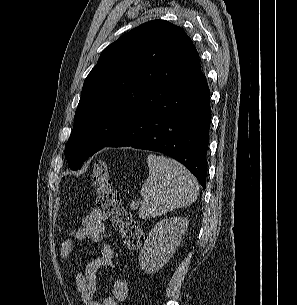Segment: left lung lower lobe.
Returning a JSON list of instances; mask_svg holds the SVG:
<instances>
[{
	"mask_svg": "<svg viewBox=\"0 0 297 305\" xmlns=\"http://www.w3.org/2000/svg\"><path fill=\"white\" fill-rule=\"evenodd\" d=\"M210 91L201 69L154 86L104 147L152 150L187 167L206 187Z\"/></svg>",
	"mask_w": 297,
	"mask_h": 305,
	"instance_id": "obj_1",
	"label": "left lung lower lobe"
}]
</instances>
